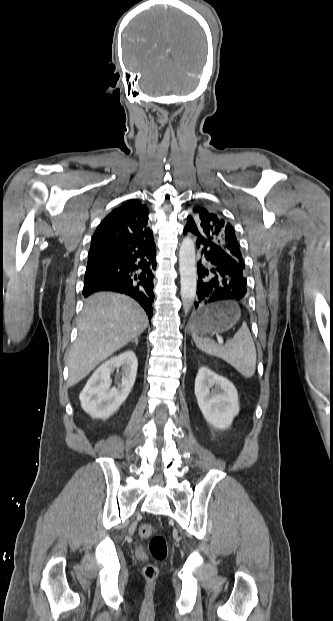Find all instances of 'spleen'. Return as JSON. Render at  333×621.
I'll return each mask as SVG.
<instances>
[{"instance_id":"3e777b00","label":"spleen","mask_w":333,"mask_h":621,"mask_svg":"<svg viewBox=\"0 0 333 621\" xmlns=\"http://www.w3.org/2000/svg\"><path fill=\"white\" fill-rule=\"evenodd\" d=\"M192 338L201 351L221 358L245 378L255 374L257 354L247 324H243L234 337L227 340L225 346L218 345L210 338L199 337L195 332H192Z\"/></svg>"}]
</instances>
